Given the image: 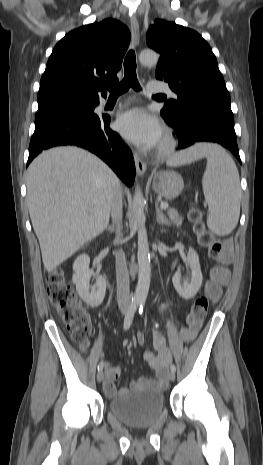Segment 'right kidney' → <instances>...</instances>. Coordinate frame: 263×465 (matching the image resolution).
Returning <instances> with one entry per match:
<instances>
[{
  "mask_svg": "<svg viewBox=\"0 0 263 465\" xmlns=\"http://www.w3.org/2000/svg\"><path fill=\"white\" fill-rule=\"evenodd\" d=\"M90 257L87 254L79 255L73 264L72 280L76 285V290L82 300L90 307L99 306L105 297L106 280L89 269ZM96 277V284L91 288L89 281L91 277Z\"/></svg>",
  "mask_w": 263,
  "mask_h": 465,
  "instance_id": "right-kidney-1",
  "label": "right kidney"
}]
</instances>
